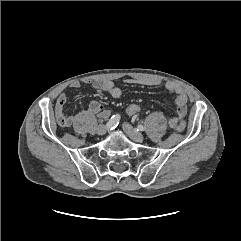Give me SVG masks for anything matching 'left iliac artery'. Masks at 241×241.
Segmentation results:
<instances>
[{"label":"left iliac artery","instance_id":"44dca946","mask_svg":"<svg viewBox=\"0 0 241 241\" xmlns=\"http://www.w3.org/2000/svg\"><path fill=\"white\" fill-rule=\"evenodd\" d=\"M137 128H138V130H140V131H143V130H144V127H143L142 125H138Z\"/></svg>","mask_w":241,"mask_h":241}]
</instances>
